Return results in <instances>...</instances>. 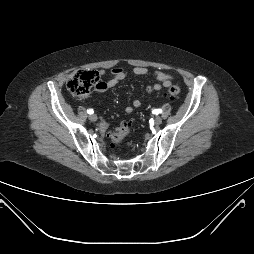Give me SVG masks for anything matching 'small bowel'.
<instances>
[{
  "instance_id": "obj_1",
  "label": "small bowel",
  "mask_w": 254,
  "mask_h": 254,
  "mask_svg": "<svg viewBox=\"0 0 254 254\" xmlns=\"http://www.w3.org/2000/svg\"><path fill=\"white\" fill-rule=\"evenodd\" d=\"M132 73L136 76H143L148 73L147 68L145 67H135L132 70ZM99 75H105V71H99ZM109 79L107 81H100V86L96 88L98 93H104L108 89L115 87L118 83L124 80L128 76V72L122 68H116L109 72ZM154 76L156 78V83L147 88L149 93L160 91L162 88L169 87L172 83V76L166 72L157 70L154 72ZM142 105V102L139 99L133 100L132 106H127L125 108L126 113H131L133 111V107L138 108ZM102 131L106 132L107 127L105 125L102 126Z\"/></svg>"
}]
</instances>
